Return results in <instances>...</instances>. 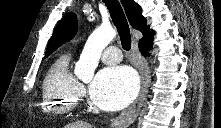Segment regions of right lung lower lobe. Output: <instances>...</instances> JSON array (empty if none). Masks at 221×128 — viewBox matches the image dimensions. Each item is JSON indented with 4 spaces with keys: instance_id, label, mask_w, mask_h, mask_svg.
Segmentation results:
<instances>
[{
    "instance_id": "98d812e1",
    "label": "right lung lower lobe",
    "mask_w": 221,
    "mask_h": 128,
    "mask_svg": "<svg viewBox=\"0 0 221 128\" xmlns=\"http://www.w3.org/2000/svg\"><path fill=\"white\" fill-rule=\"evenodd\" d=\"M152 42H153V39L149 40V41H140L139 48H140L141 53L144 56H146L148 54L147 51L152 49V46H153Z\"/></svg>"
}]
</instances>
